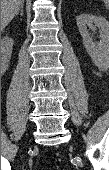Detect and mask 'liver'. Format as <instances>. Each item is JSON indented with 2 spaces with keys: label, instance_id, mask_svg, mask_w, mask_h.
Instances as JSON below:
<instances>
[{
  "label": "liver",
  "instance_id": "6515ba94",
  "mask_svg": "<svg viewBox=\"0 0 109 170\" xmlns=\"http://www.w3.org/2000/svg\"><path fill=\"white\" fill-rule=\"evenodd\" d=\"M24 0H1V28L4 29L19 11Z\"/></svg>",
  "mask_w": 109,
  "mask_h": 170
}]
</instances>
